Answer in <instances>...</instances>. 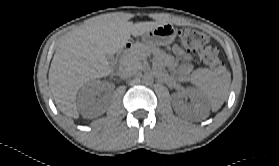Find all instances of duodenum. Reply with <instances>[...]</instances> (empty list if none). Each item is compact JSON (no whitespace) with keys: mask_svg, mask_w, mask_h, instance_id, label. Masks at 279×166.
Wrapping results in <instances>:
<instances>
[{"mask_svg":"<svg viewBox=\"0 0 279 166\" xmlns=\"http://www.w3.org/2000/svg\"><path fill=\"white\" fill-rule=\"evenodd\" d=\"M132 48V43L127 42L125 43L120 49H119V56L124 55L126 52H128Z\"/></svg>","mask_w":279,"mask_h":166,"instance_id":"obj_1","label":"duodenum"}]
</instances>
